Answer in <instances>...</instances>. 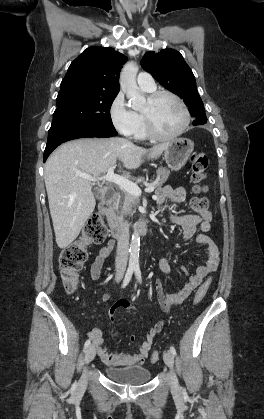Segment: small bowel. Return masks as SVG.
<instances>
[{"instance_id": "obj_1", "label": "small bowel", "mask_w": 264, "mask_h": 419, "mask_svg": "<svg viewBox=\"0 0 264 419\" xmlns=\"http://www.w3.org/2000/svg\"><path fill=\"white\" fill-rule=\"evenodd\" d=\"M187 190L185 187L173 188L171 186H164L159 189L156 194V201L159 204L165 203L170 200L172 203H181L186 199ZM170 220L173 224L178 225L183 230L184 240H189L196 235L197 229L199 233L196 235V242L204 245L206 248L205 263L198 266L193 274H187L188 280L181 287L177 293L165 294L160 280H156L155 287L157 292V299L164 312H169L172 306L181 304L191 292L197 288L203 279L211 272L215 271L219 263V250L212 239L209 237L208 232L211 228L212 214L207 209L199 214L189 215H170ZM115 246V242L110 240L106 245L101 247L95 260L90 268V275L93 280H98L101 276V271L106 258L110 255ZM161 271L165 274L171 272V267L166 259H162L159 263ZM108 294L104 296L108 299ZM129 304L125 300H119L109 310V317L114 320L116 313L121 308H128ZM164 326L163 321H159L154 327L150 328L138 348L136 354H118L111 353L104 346V339L102 330L98 327L93 328L89 332V337L93 342V346L97 351L98 356L102 362L110 367H126V366H140L144 364L148 358L155 336L162 330ZM118 335L117 331H114ZM129 341H134V336L129 337Z\"/></svg>"}]
</instances>
